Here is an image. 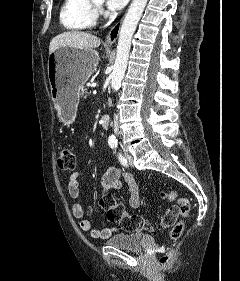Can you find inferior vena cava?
<instances>
[{"mask_svg":"<svg viewBox=\"0 0 240 281\" xmlns=\"http://www.w3.org/2000/svg\"><path fill=\"white\" fill-rule=\"evenodd\" d=\"M114 132L117 135L118 134V116L115 115L114 117Z\"/></svg>","mask_w":240,"mask_h":281,"instance_id":"602c4592","label":"inferior vena cava"}]
</instances>
